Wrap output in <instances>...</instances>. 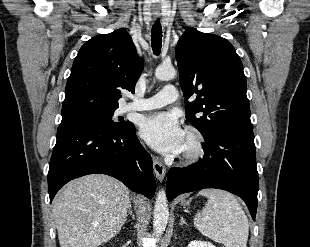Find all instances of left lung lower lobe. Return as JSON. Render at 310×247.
Returning a JSON list of instances; mask_svg holds the SVG:
<instances>
[{
  "mask_svg": "<svg viewBox=\"0 0 310 247\" xmlns=\"http://www.w3.org/2000/svg\"><path fill=\"white\" fill-rule=\"evenodd\" d=\"M204 157L197 163L170 169L166 194L172 200L182 193L217 188L241 197L255 220L258 173L252 128L222 131L203 144Z\"/></svg>",
  "mask_w": 310,
  "mask_h": 247,
  "instance_id": "1",
  "label": "left lung lower lobe"
}]
</instances>
